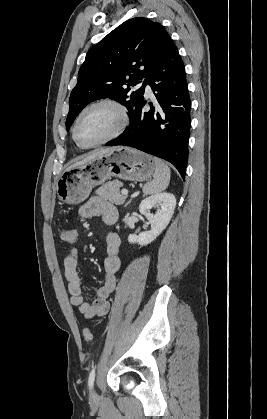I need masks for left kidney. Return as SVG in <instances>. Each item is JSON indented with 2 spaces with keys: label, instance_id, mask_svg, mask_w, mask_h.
<instances>
[{
  "label": "left kidney",
  "instance_id": "obj_1",
  "mask_svg": "<svg viewBox=\"0 0 267 419\" xmlns=\"http://www.w3.org/2000/svg\"><path fill=\"white\" fill-rule=\"evenodd\" d=\"M157 207L155 214L150 210ZM176 207V198L171 193H159L145 198L139 205V212L144 215L151 225V230L139 235L130 234L129 243H138L141 246L150 244L169 224Z\"/></svg>",
  "mask_w": 267,
  "mask_h": 419
}]
</instances>
